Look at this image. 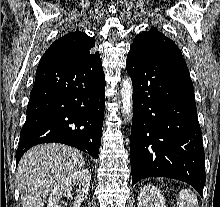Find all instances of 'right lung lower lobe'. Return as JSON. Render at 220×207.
<instances>
[{
  "label": "right lung lower lobe",
  "instance_id": "1",
  "mask_svg": "<svg viewBox=\"0 0 220 207\" xmlns=\"http://www.w3.org/2000/svg\"><path fill=\"white\" fill-rule=\"evenodd\" d=\"M99 53L71 62L40 64L16 152L41 143H63L98 158L105 106Z\"/></svg>",
  "mask_w": 220,
  "mask_h": 207
}]
</instances>
